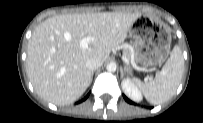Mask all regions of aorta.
<instances>
[{"label":"aorta","instance_id":"1","mask_svg":"<svg viewBox=\"0 0 203 123\" xmlns=\"http://www.w3.org/2000/svg\"><path fill=\"white\" fill-rule=\"evenodd\" d=\"M107 71L114 72L116 71V64L115 63H109L106 67Z\"/></svg>","mask_w":203,"mask_h":123}]
</instances>
